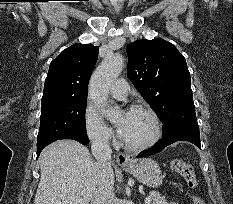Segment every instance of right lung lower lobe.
Masks as SVG:
<instances>
[{
    "mask_svg": "<svg viewBox=\"0 0 233 204\" xmlns=\"http://www.w3.org/2000/svg\"><path fill=\"white\" fill-rule=\"evenodd\" d=\"M60 139H73V140H76V141L80 142V143L83 144V145H86V144L89 143V139H88L87 136H86V137H81V136H76V135H74V136L63 137V138H60ZM60 139H58V140H60ZM45 146H47V145H45ZM45 146L39 147V148L37 149V157L39 156L40 152L43 150V148H44Z\"/></svg>",
    "mask_w": 233,
    "mask_h": 204,
    "instance_id": "right-lung-lower-lobe-1",
    "label": "right lung lower lobe"
}]
</instances>
